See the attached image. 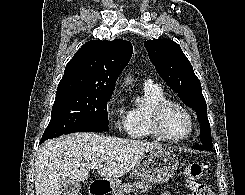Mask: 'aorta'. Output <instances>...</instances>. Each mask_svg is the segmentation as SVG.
<instances>
[{"label": "aorta", "instance_id": "obj_1", "mask_svg": "<svg viewBox=\"0 0 245 195\" xmlns=\"http://www.w3.org/2000/svg\"><path fill=\"white\" fill-rule=\"evenodd\" d=\"M126 82H127V83H128V82H131V79L127 78V79H126Z\"/></svg>", "mask_w": 245, "mask_h": 195}]
</instances>
